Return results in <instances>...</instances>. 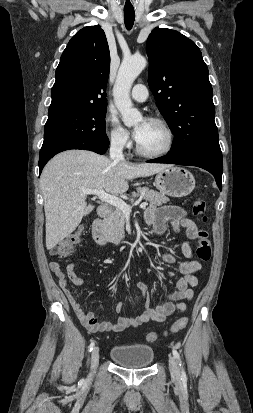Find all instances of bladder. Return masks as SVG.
<instances>
[{
  "mask_svg": "<svg viewBox=\"0 0 253 413\" xmlns=\"http://www.w3.org/2000/svg\"><path fill=\"white\" fill-rule=\"evenodd\" d=\"M110 357L124 368H146L154 360V350L144 344L117 345L111 349Z\"/></svg>",
  "mask_w": 253,
  "mask_h": 413,
  "instance_id": "obj_1",
  "label": "bladder"
}]
</instances>
